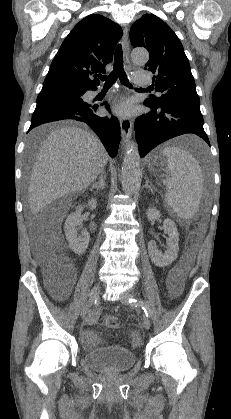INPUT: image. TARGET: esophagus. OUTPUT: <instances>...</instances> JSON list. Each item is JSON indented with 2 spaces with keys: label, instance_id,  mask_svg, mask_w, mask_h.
I'll list each match as a JSON object with an SVG mask.
<instances>
[{
  "label": "esophagus",
  "instance_id": "obj_1",
  "mask_svg": "<svg viewBox=\"0 0 231 419\" xmlns=\"http://www.w3.org/2000/svg\"><path fill=\"white\" fill-rule=\"evenodd\" d=\"M122 45L124 51V57L126 64H130L129 60V37H128V29L125 27L123 29V38H122ZM120 128H121V136H122V145L123 148H126L132 133V120L129 118H120Z\"/></svg>",
  "mask_w": 231,
  "mask_h": 419
}]
</instances>
